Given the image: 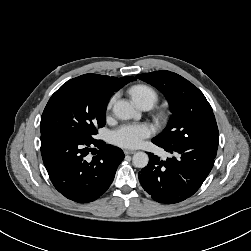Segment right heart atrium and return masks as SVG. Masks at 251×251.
<instances>
[{"label": "right heart atrium", "instance_id": "obj_1", "mask_svg": "<svg viewBox=\"0 0 251 251\" xmlns=\"http://www.w3.org/2000/svg\"><path fill=\"white\" fill-rule=\"evenodd\" d=\"M114 101H115V96H113V97L110 98V100H109V102L107 104V109L108 110L112 107Z\"/></svg>", "mask_w": 251, "mask_h": 251}]
</instances>
